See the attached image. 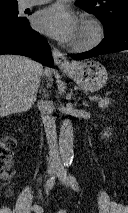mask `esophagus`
Here are the masks:
<instances>
[{
    "instance_id": "1",
    "label": "esophagus",
    "mask_w": 128,
    "mask_h": 213,
    "mask_svg": "<svg viewBox=\"0 0 128 213\" xmlns=\"http://www.w3.org/2000/svg\"><path fill=\"white\" fill-rule=\"evenodd\" d=\"M52 54L55 64L62 70L73 69V65L67 60L66 56L57 48L52 47Z\"/></svg>"
}]
</instances>
